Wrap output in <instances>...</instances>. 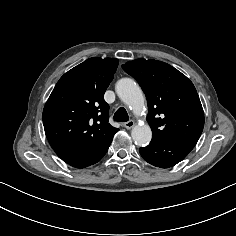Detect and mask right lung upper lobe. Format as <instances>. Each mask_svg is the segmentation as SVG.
Instances as JSON below:
<instances>
[{
    "label": "right lung upper lobe",
    "instance_id": "obj_1",
    "mask_svg": "<svg viewBox=\"0 0 236 236\" xmlns=\"http://www.w3.org/2000/svg\"><path fill=\"white\" fill-rule=\"evenodd\" d=\"M118 59L89 58L57 82L43 110L47 139L54 148L94 149L119 130L108 123L104 93Z\"/></svg>",
    "mask_w": 236,
    "mask_h": 236
}]
</instances>
